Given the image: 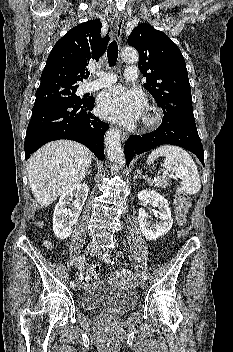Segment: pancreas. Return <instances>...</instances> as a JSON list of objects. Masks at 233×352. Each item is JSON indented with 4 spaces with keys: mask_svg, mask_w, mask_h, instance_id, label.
Masks as SVG:
<instances>
[{
    "mask_svg": "<svg viewBox=\"0 0 233 352\" xmlns=\"http://www.w3.org/2000/svg\"><path fill=\"white\" fill-rule=\"evenodd\" d=\"M149 183L152 186L158 187V188H165L170 185L166 179H158L157 181H149Z\"/></svg>",
    "mask_w": 233,
    "mask_h": 352,
    "instance_id": "pancreas-1",
    "label": "pancreas"
}]
</instances>
